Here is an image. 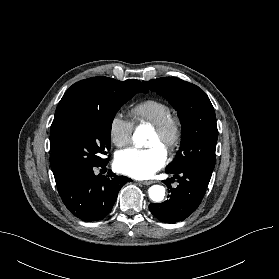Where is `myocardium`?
Instances as JSON below:
<instances>
[{"mask_svg": "<svg viewBox=\"0 0 279 279\" xmlns=\"http://www.w3.org/2000/svg\"><path fill=\"white\" fill-rule=\"evenodd\" d=\"M153 131L161 138L167 139L166 151L173 153L182 139V124L178 116L171 113L153 126Z\"/></svg>", "mask_w": 279, "mask_h": 279, "instance_id": "f54148a6", "label": "myocardium"}]
</instances>
